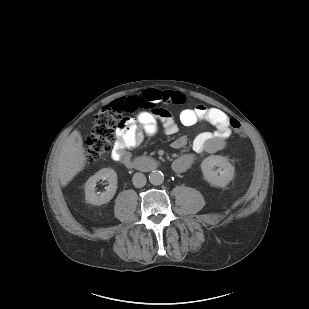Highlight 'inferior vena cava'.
I'll return each mask as SVG.
<instances>
[{
  "mask_svg": "<svg viewBox=\"0 0 309 309\" xmlns=\"http://www.w3.org/2000/svg\"><path fill=\"white\" fill-rule=\"evenodd\" d=\"M133 185L136 188H141L146 185L147 179L143 173H135L132 178Z\"/></svg>",
  "mask_w": 309,
  "mask_h": 309,
  "instance_id": "602c4592",
  "label": "inferior vena cava"
}]
</instances>
